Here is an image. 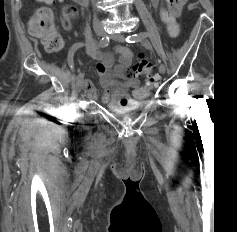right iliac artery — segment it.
<instances>
[{
    "mask_svg": "<svg viewBox=\"0 0 237 232\" xmlns=\"http://www.w3.org/2000/svg\"><path fill=\"white\" fill-rule=\"evenodd\" d=\"M109 44V37L108 36H104L99 44H98V47L100 48H103V47H106L107 45ZM87 44L86 43H83V42H79V43H75L72 45V47L70 48L69 52H68V56H67V61H68V64H69V67L71 68V70H74V54L75 52L77 51V49L83 47V46H86Z\"/></svg>",
    "mask_w": 237,
    "mask_h": 232,
    "instance_id": "82829eb1",
    "label": "right iliac artery"
}]
</instances>
